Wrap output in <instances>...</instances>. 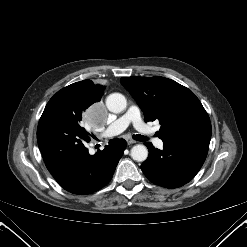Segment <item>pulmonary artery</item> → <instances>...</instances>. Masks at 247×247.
Segmentation results:
<instances>
[{
    "instance_id": "1",
    "label": "pulmonary artery",
    "mask_w": 247,
    "mask_h": 247,
    "mask_svg": "<svg viewBox=\"0 0 247 247\" xmlns=\"http://www.w3.org/2000/svg\"><path fill=\"white\" fill-rule=\"evenodd\" d=\"M130 124L142 135L152 139L158 148L163 147V141L154 136V130L150 128L141 118L138 106L131 105L128 110L115 121H113L103 132V137H113L122 133Z\"/></svg>"
}]
</instances>
